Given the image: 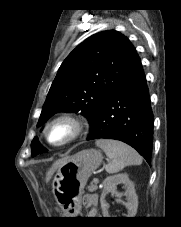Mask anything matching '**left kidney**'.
<instances>
[{
  "label": "left kidney",
  "instance_id": "5707ae66",
  "mask_svg": "<svg viewBox=\"0 0 181 227\" xmlns=\"http://www.w3.org/2000/svg\"><path fill=\"white\" fill-rule=\"evenodd\" d=\"M123 183L126 191L124 194L117 192V184ZM104 189L101 194L100 203L101 209L104 217H109L108 213V205L105 201V196L107 193L111 192L118 197L122 195L126 196L127 202H124L125 207L127 208V214L125 217H134L137 213L138 208V197L135 191L134 183L129 179L127 173H120L113 176L107 177L104 182Z\"/></svg>",
  "mask_w": 181,
  "mask_h": 227
}]
</instances>
